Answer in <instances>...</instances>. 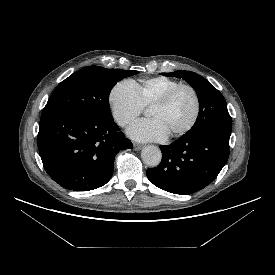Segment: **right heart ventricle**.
<instances>
[{
  "instance_id": "obj_1",
  "label": "right heart ventricle",
  "mask_w": 275,
  "mask_h": 275,
  "mask_svg": "<svg viewBox=\"0 0 275 275\" xmlns=\"http://www.w3.org/2000/svg\"><path fill=\"white\" fill-rule=\"evenodd\" d=\"M135 84L143 106L151 107L166 92L179 85L180 82L169 77L157 76L141 79Z\"/></svg>"
}]
</instances>
